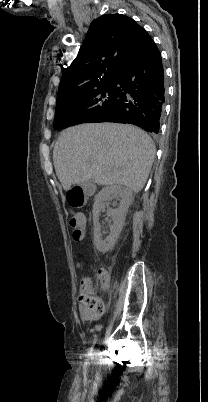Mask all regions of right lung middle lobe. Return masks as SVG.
Here are the masks:
<instances>
[{
	"label": "right lung middle lobe",
	"instance_id": "dd1d6c3e",
	"mask_svg": "<svg viewBox=\"0 0 208 402\" xmlns=\"http://www.w3.org/2000/svg\"><path fill=\"white\" fill-rule=\"evenodd\" d=\"M116 93L114 80H99L58 94L53 127L85 122L97 113L108 112L115 105Z\"/></svg>",
	"mask_w": 208,
	"mask_h": 402
}]
</instances>
